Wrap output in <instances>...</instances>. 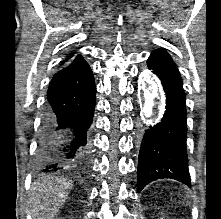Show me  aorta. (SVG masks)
I'll list each match as a JSON object with an SVG mask.
<instances>
[{"label": "aorta", "mask_w": 221, "mask_h": 219, "mask_svg": "<svg viewBox=\"0 0 221 219\" xmlns=\"http://www.w3.org/2000/svg\"><path fill=\"white\" fill-rule=\"evenodd\" d=\"M138 87L140 90L139 117L144 121L153 114L160 87L147 70L139 76Z\"/></svg>", "instance_id": "obj_1"}]
</instances>
